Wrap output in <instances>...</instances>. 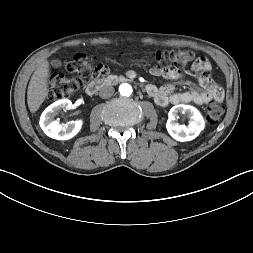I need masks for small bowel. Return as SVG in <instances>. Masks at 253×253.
Segmentation results:
<instances>
[{"instance_id": "1", "label": "small bowel", "mask_w": 253, "mask_h": 253, "mask_svg": "<svg viewBox=\"0 0 253 253\" xmlns=\"http://www.w3.org/2000/svg\"><path fill=\"white\" fill-rule=\"evenodd\" d=\"M210 68V63L205 57H199L185 67V74L189 78H197L200 75L198 89L176 92L175 85L169 83L161 87L149 84L146 90L154 98L155 102L163 107L178 103L192 102L197 105H203L212 100L222 101L224 98L223 90L212 80ZM150 74L156 77L162 76L173 81L181 80L180 70L173 63L162 64L159 67L154 66L150 69Z\"/></svg>"}]
</instances>
